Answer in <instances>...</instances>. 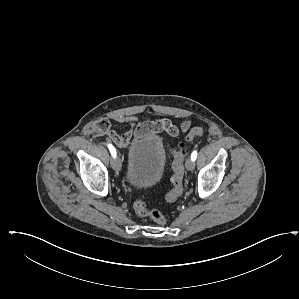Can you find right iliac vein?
Returning a JSON list of instances; mask_svg holds the SVG:
<instances>
[{
  "label": "right iliac vein",
  "instance_id": "right-iliac-vein-1",
  "mask_svg": "<svg viewBox=\"0 0 299 299\" xmlns=\"http://www.w3.org/2000/svg\"><path fill=\"white\" fill-rule=\"evenodd\" d=\"M112 168L116 172H119L121 170V161L119 158H116L112 161Z\"/></svg>",
  "mask_w": 299,
  "mask_h": 299
}]
</instances>
